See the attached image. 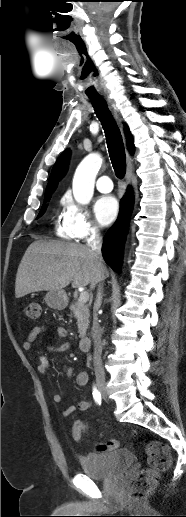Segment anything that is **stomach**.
<instances>
[{
    "mask_svg": "<svg viewBox=\"0 0 186 517\" xmlns=\"http://www.w3.org/2000/svg\"><path fill=\"white\" fill-rule=\"evenodd\" d=\"M45 301L49 307L63 310L68 304V297L63 289L50 290L45 296Z\"/></svg>",
    "mask_w": 186,
    "mask_h": 517,
    "instance_id": "obj_1",
    "label": "stomach"
}]
</instances>
